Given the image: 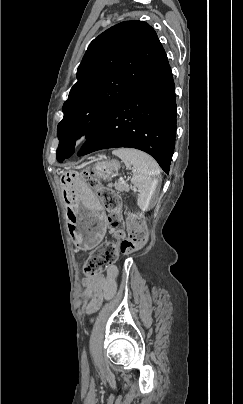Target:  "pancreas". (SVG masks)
<instances>
[{
    "instance_id": "cf45deb5",
    "label": "pancreas",
    "mask_w": 243,
    "mask_h": 404,
    "mask_svg": "<svg viewBox=\"0 0 243 404\" xmlns=\"http://www.w3.org/2000/svg\"><path fill=\"white\" fill-rule=\"evenodd\" d=\"M113 186L115 190H119V192H129L130 190L128 184H122V182H115Z\"/></svg>"
}]
</instances>
